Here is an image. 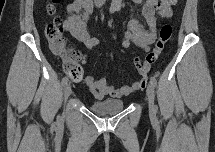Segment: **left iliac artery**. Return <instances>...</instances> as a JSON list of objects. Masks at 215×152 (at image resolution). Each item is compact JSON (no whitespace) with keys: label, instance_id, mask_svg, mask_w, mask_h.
Masks as SVG:
<instances>
[{"label":"left iliac artery","instance_id":"left-iliac-artery-1","mask_svg":"<svg viewBox=\"0 0 215 152\" xmlns=\"http://www.w3.org/2000/svg\"><path fill=\"white\" fill-rule=\"evenodd\" d=\"M150 83L153 87H156V85H157V81L154 77H150Z\"/></svg>","mask_w":215,"mask_h":152}]
</instances>
